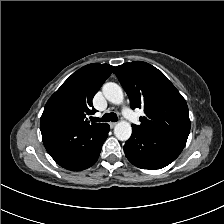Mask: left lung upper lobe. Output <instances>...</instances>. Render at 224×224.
<instances>
[{
  "mask_svg": "<svg viewBox=\"0 0 224 224\" xmlns=\"http://www.w3.org/2000/svg\"><path fill=\"white\" fill-rule=\"evenodd\" d=\"M114 73L130 99L131 108L144 109L141 124H133L132 128L187 141L190 132L187 103L160 70L134 61L117 66Z\"/></svg>",
  "mask_w": 224,
  "mask_h": 224,
  "instance_id": "left-lung-upper-lobe-1",
  "label": "left lung upper lobe"
}]
</instances>
